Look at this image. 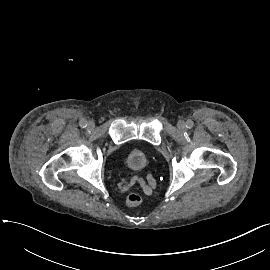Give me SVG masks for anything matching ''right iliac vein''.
<instances>
[{
	"mask_svg": "<svg viewBox=\"0 0 270 270\" xmlns=\"http://www.w3.org/2000/svg\"><path fill=\"white\" fill-rule=\"evenodd\" d=\"M95 127L94 122L90 121L88 122V129L92 130Z\"/></svg>",
	"mask_w": 270,
	"mask_h": 270,
	"instance_id": "1",
	"label": "right iliac vein"
}]
</instances>
